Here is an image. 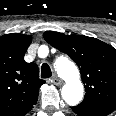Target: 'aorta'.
Returning <instances> with one entry per match:
<instances>
[{"label": "aorta", "mask_w": 116, "mask_h": 116, "mask_svg": "<svg viewBox=\"0 0 116 116\" xmlns=\"http://www.w3.org/2000/svg\"><path fill=\"white\" fill-rule=\"evenodd\" d=\"M57 70L65 80L61 91L62 98L70 106L77 105L83 98L84 90L77 67L68 59H62Z\"/></svg>", "instance_id": "1"}]
</instances>
